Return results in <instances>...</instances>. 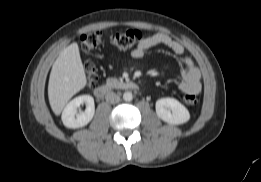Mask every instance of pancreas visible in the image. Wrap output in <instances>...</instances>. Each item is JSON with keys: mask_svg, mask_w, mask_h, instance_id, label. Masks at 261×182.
<instances>
[{"mask_svg": "<svg viewBox=\"0 0 261 182\" xmlns=\"http://www.w3.org/2000/svg\"><path fill=\"white\" fill-rule=\"evenodd\" d=\"M120 82L115 78H108L106 80V85L108 87H116Z\"/></svg>", "mask_w": 261, "mask_h": 182, "instance_id": "obj_1", "label": "pancreas"}]
</instances>
